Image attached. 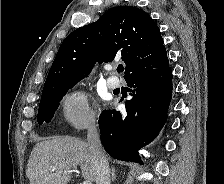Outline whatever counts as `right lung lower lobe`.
<instances>
[{"instance_id": "98d812e1", "label": "right lung lower lobe", "mask_w": 224, "mask_h": 184, "mask_svg": "<svg viewBox=\"0 0 224 184\" xmlns=\"http://www.w3.org/2000/svg\"><path fill=\"white\" fill-rule=\"evenodd\" d=\"M133 98L126 112L104 110L99 118L101 143L113 158L142 163L138 150L149 144L166 121L172 98L169 62L126 80Z\"/></svg>"}]
</instances>
